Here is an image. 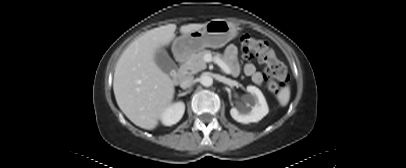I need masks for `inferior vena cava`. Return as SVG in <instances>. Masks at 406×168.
Returning a JSON list of instances; mask_svg holds the SVG:
<instances>
[{
    "mask_svg": "<svg viewBox=\"0 0 406 168\" xmlns=\"http://www.w3.org/2000/svg\"><path fill=\"white\" fill-rule=\"evenodd\" d=\"M194 77L192 75L184 76L180 81V87L183 89H187L192 85Z\"/></svg>",
    "mask_w": 406,
    "mask_h": 168,
    "instance_id": "obj_1",
    "label": "inferior vena cava"
}]
</instances>
